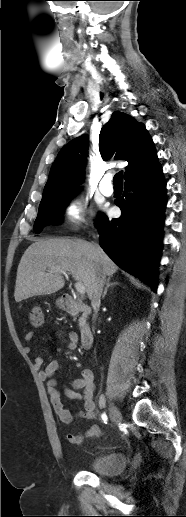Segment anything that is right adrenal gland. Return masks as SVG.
Listing matches in <instances>:
<instances>
[{"label": "right adrenal gland", "instance_id": "1", "mask_svg": "<svg viewBox=\"0 0 186 517\" xmlns=\"http://www.w3.org/2000/svg\"><path fill=\"white\" fill-rule=\"evenodd\" d=\"M110 280H111V277H108L107 282H106V287H105V289H104V291H103V295H102V298H103V299L105 298V296H106V294H107V291H108V288H109V287H114V286H116V285H120V283H119V282H112V283H111V282H110Z\"/></svg>", "mask_w": 186, "mask_h": 517}]
</instances>
